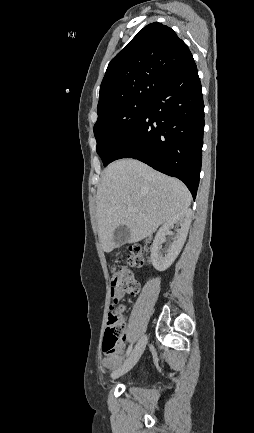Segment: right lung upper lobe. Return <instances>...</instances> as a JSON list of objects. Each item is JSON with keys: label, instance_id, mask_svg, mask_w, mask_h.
<instances>
[{"label": "right lung upper lobe", "instance_id": "obj_1", "mask_svg": "<svg viewBox=\"0 0 254 433\" xmlns=\"http://www.w3.org/2000/svg\"><path fill=\"white\" fill-rule=\"evenodd\" d=\"M193 61L187 45L170 27H144L109 63L97 111L129 99H152L160 87Z\"/></svg>", "mask_w": 254, "mask_h": 433}]
</instances>
